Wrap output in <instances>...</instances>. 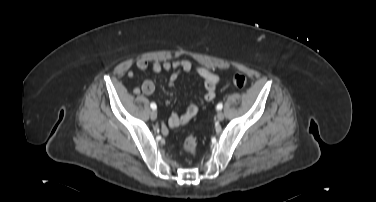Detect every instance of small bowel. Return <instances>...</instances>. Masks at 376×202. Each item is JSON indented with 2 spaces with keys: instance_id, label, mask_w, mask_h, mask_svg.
I'll return each instance as SVG.
<instances>
[{
  "instance_id": "small-bowel-1",
  "label": "small bowel",
  "mask_w": 376,
  "mask_h": 202,
  "mask_svg": "<svg viewBox=\"0 0 376 202\" xmlns=\"http://www.w3.org/2000/svg\"><path fill=\"white\" fill-rule=\"evenodd\" d=\"M148 61L145 59H140L136 63V67L140 71H144L148 68ZM152 70L154 72L161 71H172L169 79L168 86L173 87L181 75V73H189L193 71L201 80L203 85V93L198 103L190 104L183 114H172L169 117L168 125L171 128H177L188 123L198 112L199 107L206 102H210L215 98L216 87L219 82V77L212 73L209 69L205 67H193L188 60L179 61H165V62H155L152 64ZM129 78L134 77V71L129 70L127 72ZM155 86L151 80H146L143 82L142 86L135 87L132 89L134 94L144 93L150 95L154 92Z\"/></svg>"
}]
</instances>
